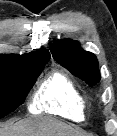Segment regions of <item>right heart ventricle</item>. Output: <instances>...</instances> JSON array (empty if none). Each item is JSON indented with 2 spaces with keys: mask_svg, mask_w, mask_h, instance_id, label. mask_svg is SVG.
<instances>
[{
  "mask_svg": "<svg viewBox=\"0 0 117 136\" xmlns=\"http://www.w3.org/2000/svg\"><path fill=\"white\" fill-rule=\"evenodd\" d=\"M84 97L74 80L63 71H54L44 78L33 94L30 109L81 121L84 118Z\"/></svg>",
  "mask_w": 117,
  "mask_h": 136,
  "instance_id": "right-heart-ventricle-1",
  "label": "right heart ventricle"
}]
</instances>
